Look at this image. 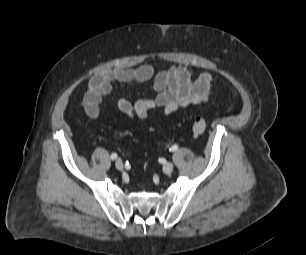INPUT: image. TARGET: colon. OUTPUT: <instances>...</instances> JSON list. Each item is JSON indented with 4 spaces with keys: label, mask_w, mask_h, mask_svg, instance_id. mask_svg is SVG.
I'll return each instance as SVG.
<instances>
[{
    "label": "colon",
    "mask_w": 306,
    "mask_h": 255,
    "mask_svg": "<svg viewBox=\"0 0 306 255\" xmlns=\"http://www.w3.org/2000/svg\"><path fill=\"white\" fill-rule=\"evenodd\" d=\"M207 123L205 119L198 117L193 121L192 131L195 135H201L205 132Z\"/></svg>",
    "instance_id": "obj_1"
}]
</instances>
